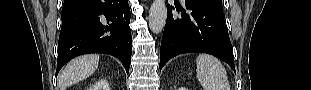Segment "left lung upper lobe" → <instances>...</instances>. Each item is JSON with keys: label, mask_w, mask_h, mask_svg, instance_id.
<instances>
[{"label": "left lung upper lobe", "mask_w": 311, "mask_h": 90, "mask_svg": "<svg viewBox=\"0 0 311 90\" xmlns=\"http://www.w3.org/2000/svg\"><path fill=\"white\" fill-rule=\"evenodd\" d=\"M195 1L201 2L203 4L209 5L211 7H214L216 9L223 11L222 0H195Z\"/></svg>", "instance_id": "left-lung-upper-lobe-1"}]
</instances>
